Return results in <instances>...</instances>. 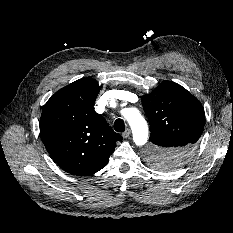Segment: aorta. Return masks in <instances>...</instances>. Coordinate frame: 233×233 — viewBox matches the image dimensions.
<instances>
[{
    "mask_svg": "<svg viewBox=\"0 0 233 233\" xmlns=\"http://www.w3.org/2000/svg\"><path fill=\"white\" fill-rule=\"evenodd\" d=\"M123 115L132 129L135 144L138 146L145 145L148 139V125L146 120L133 108L124 110Z\"/></svg>",
    "mask_w": 233,
    "mask_h": 233,
    "instance_id": "aorta-1",
    "label": "aorta"
}]
</instances>
